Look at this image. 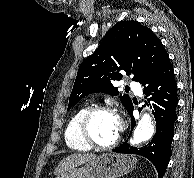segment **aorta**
<instances>
[{"label": "aorta", "instance_id": "1", "mask_svg": "<svg viewBox=\"0 0 194 178\" xmlns=\"http://www.w3.org/2000/svg\"><path fill=\"white\" fill-rule=\"evenodd\" d=\"M153 133L154 127L152 125V118L149 114L145 113L138 122L130 143L134 145L147 141L152 137Z\"/></svg>", "mask_w": 194, "mask_h": 178}]
</instances>
